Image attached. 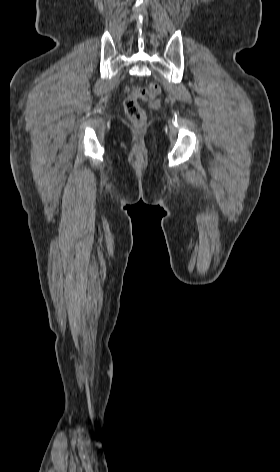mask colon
Instances as JSON below:
<instances>
[{"label": "colon", "mask_w": 280, "mask_h": 472, "mask_svg": "<svg viewBox=\"0 0 280 472\" xmlns=\"http://www.w3.org/2000/svg\"><path fill=\"white\" fill-rule=\"evenodd\" d=\"M159 93L160 86L154 82L133 89L124 101V110L128 118L136 125H143L146 121V114L140 105V101H151Z\"/></svg>", "instance_id": "obj_1"}]
</instances>
